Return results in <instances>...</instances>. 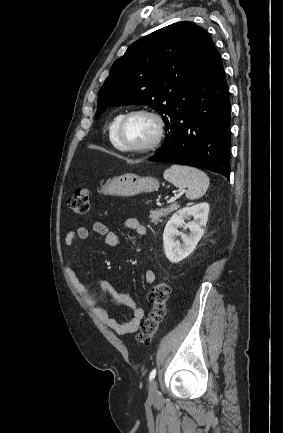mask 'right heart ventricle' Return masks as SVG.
Returning <instances> with one entry per match:
<instances>
[{
	"label": "right heart ventricle",
	"mask_w": 283,
	"mask_h": 433,
	"mask_svg": "<svg viewBox=\"0 0 283 433\" xmlns=\"http://www.w3.org/2000/svg\"><path fill=\"white\" fill-rule=\"evenodd\" d=\"M123 114H124L123 112L116 113L112 117V119L109 123V126H108V136H109L110 142L118 150H120V149H119L117 142H116V139H115V129H116V126H117L119 120L123 116Z\"/></svg>",
	"instance_id": "e07e8e85"
}]
</instances>
